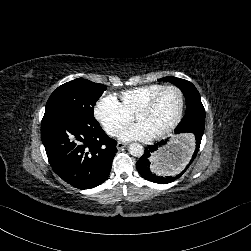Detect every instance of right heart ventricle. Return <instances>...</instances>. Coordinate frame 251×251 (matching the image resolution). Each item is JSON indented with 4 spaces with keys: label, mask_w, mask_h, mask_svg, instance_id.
Returning a JSON list of instances; mask_svg holds the SVG:
<instances>
[{
    "label": "right heart ventricle",
    "mask_w": 251,
    "mask_h": 251,
    "mask_svg": "<svg viewBox=\"0 0 251 251\" xmlns=\"http://www.w3.org/2000/svg\"><path fill=\"white\" fill-rule=\"evenodd\" d=\"M164 87L165 85L162 84H147L127 89L122 92V103L128 111H136L143 103Z\"/></svg>",
    "instance_id": "1"
}]
</instances>
